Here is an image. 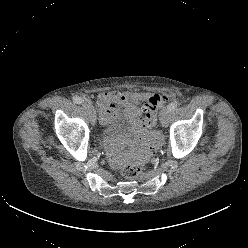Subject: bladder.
Here are the masks:
<instances>
[{
    "label": "bladder",
    "instance_id": "31cf9c89",
    "mask_svg": "<svg viewBox=\"0 0 248 248\" xmlns=\"http://www.w3.org/2000/svg\"><path fill=\"white\" fill-rule=\"evenodd\" d=\"M123 128H124V124H123V122H122V119L119 118L117 121H115V122L112 124V126H111L109 132H110L111 134L119 133V132H121V131L123 130Z\"/></svg>",
    "mask_w": 248,
    "mask_h": 248
}]
</instances>
